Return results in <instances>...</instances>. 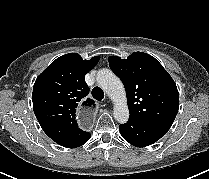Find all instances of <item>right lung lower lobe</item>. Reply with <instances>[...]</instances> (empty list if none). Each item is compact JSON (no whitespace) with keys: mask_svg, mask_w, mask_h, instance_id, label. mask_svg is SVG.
<instances>
[{"mask_svg":"<svg viewBox=\"0 0 209 179\" xmlns=\"http://www.w3.org/2000/svg\"><path fill=\"white\" fill-rule=\"evenodd\" d=\"M91 137V134L89 132L82 131L79 135L71 139L70 141L63 144V147L66 148H75L83 145L86 143Z\"/></svg>","mask_w":209,"mask_h":179,"instance_id":"right-lung-lower-lobe-1","label":"right lung lower lobe"}]
</instances>
